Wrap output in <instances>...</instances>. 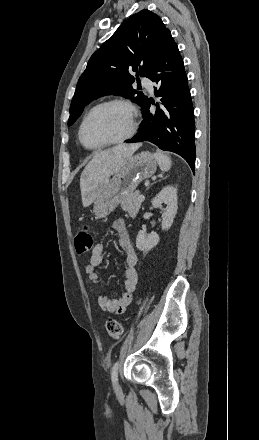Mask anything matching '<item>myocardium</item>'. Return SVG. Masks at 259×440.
I'll use <instances>...</instances> for the list:
<instances>
[{
  "label": "myocardium",
  "mask_w": 259,
  "mask_h": 440,
  "mask_svg": "<svg viewBox=\"0 0 259 440\" xmlns=\"http://www.w3.org/2000/svg\"><path fill=\"white\" fill-rule=\"evenodd\" d=\"M108 105H122L124 106L129 114V129L127 131V133L125 135H123L122 137L100 144V145H96V146H89L85 143L84 139H83V129L84 126L87 122V120L89 119V117L98 109L108 106ZM138 130V119H137V110L135 108V106L128 100L122 99V98H113V99H108L105 101H102L98 104H96L95 106H93L83 117L81 124L79 126V130H78V139L80 141V143L82 144L83 147H85L86 149L89 150H100L109 146H113V145H117L120 143H123L129 139H131L137 132Z\"/></svg>",
  "instance_id": "myocardium-1"
}]
</instances>
